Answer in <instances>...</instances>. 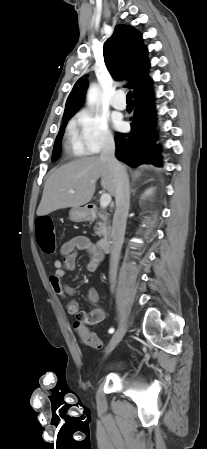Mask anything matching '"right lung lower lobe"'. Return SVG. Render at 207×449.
Instances as JSON below:
<instances>
[{
    "mask_svg": "<svg viewBox=\"0 0 207 449\" xmlns=\"http://www.w3.org/2000/svg\"><path fill=\"white\" fill-rule=\"evenodd\" d=\"M134 115L131 131L126 134L116 133V157L126 164L136 167L148 163L162 166L160 146L156 145L157 132L156 111L154 108V93L151 89L134 95ZM151 143L152 145H148Z\"/></svg>",
    "mask_w": 207,
    "mask_h": 449,
    "instance_id": "obj_1",
    "label": "right lung lower lobe"
}]
</instances>
